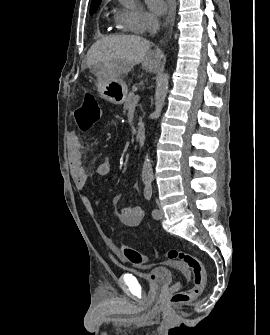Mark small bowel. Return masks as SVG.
I'll return each instance as SVG.
<instances>
[{
    "instance_id": "obj_1",
    "label": "small bowel",
    "mask_w": 270,
    "mask_h": 335,
    "mask_svg": "<svg viewBox=\"0 0 270 335\" xmlns=\"http://www.w3.org/2000/svg\"><path fill=\"white\" fill-rule=\"evenodd\" d=\"M68 163L73 181L79 190H82L93 173L106 176L110 172V164L107 161L99 162L95 167L85 164L82 153V144L76 133L69 134ZM84 207L92 210L91 201L87 197L82 198ZM144 218V211L140 206H127L121 209L119 219L127 228L137 227Z\"/></svg>"
}]
</instances>
